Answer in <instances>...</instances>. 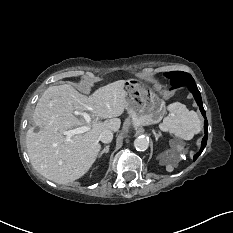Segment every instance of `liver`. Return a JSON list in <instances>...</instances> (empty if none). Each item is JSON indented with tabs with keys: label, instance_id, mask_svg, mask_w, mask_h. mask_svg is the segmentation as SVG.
<instances>
[{
	"label": "liver",
	"instance_id": "6515ba94",
	"mask_svg": "<svg viewBox=\"0 0 233 233\" xmlns=\"http://www.w3.org/2000/svg\"><path fill=\"white\" fill-rule=\"evenodd\" d=\"M126 109L124 80L98 88L85 96L69 84L50 86L39 98L33 123L26 134L27 152L33 168L45 178L68 184L82 177L95 162L101 149L99 135L104 130L116 132ZM75 112H89L91 123ZM106 119L105 121H102ZM88 126L87 132L69 140L67 129Z\"/></svg>",
	"mask_w": 233,
	"mask_h": 233
}]
</instances>
